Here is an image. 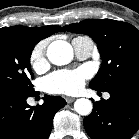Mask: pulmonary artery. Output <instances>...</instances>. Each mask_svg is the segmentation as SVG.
I'll list each match as a JSON object with an SVG mask.
<instances>
[{
	"instance_id": "1",
	"label": "pulmonary artery",
	"mask_w": 139,
	"mask_h": 139,
	"mask_svg": "<svg viewBox=\"0 0 139 139\" xmlns=\"http://www.w3.org/2000/svg\"><path fill=\"white\" fill-rule=\"evenodd\" d=\"M72 46L77 58L83 60L91 55L93 41L87 36H78L72 40ZM105 98H109V94H105Z\"/></svg>"
}]
</instances>
